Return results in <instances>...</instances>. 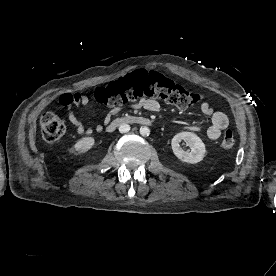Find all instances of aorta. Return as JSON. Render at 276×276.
<instances>
[{"instance_id": "1", "label": "aorta", "mask_w": 276, "mask_h": 276, "mask_svg": "<svg viewBox=\"0 0 276 276\" xmlns=\"http://www.w3.org/2000/svg\"><path fill=\"white\" fill-rule=\"evenodd\" d=\"M140 134L142 136H149L150 134V129L148 127H141L140 128Z\"/></svg>"}]
</instances>
